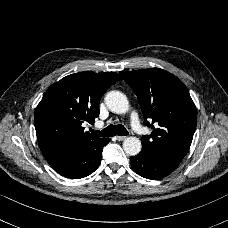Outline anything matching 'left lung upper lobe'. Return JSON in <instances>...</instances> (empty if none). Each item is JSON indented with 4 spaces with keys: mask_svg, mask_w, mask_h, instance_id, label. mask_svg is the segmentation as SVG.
<instances>
[{
    "mask_svg": "<svg viewBox=\"0 0 228 228\" xmlns=\"http://www.w3.org/2000/svg\"><path fill=\"white\" fill-rule=\"evenodd\" d=\"M120 74L138 97L144 124L153 129L151 135L142 137V151L154 157L182 161L190 148L197 121L196 108L186 86L160 68Z\"/></svg>",
    "mask_w": 228,
    "mask_h": 228,
    "instance_id": "5c2ea615",
    "label": "left lung upper lobe"
}]
</instances>
